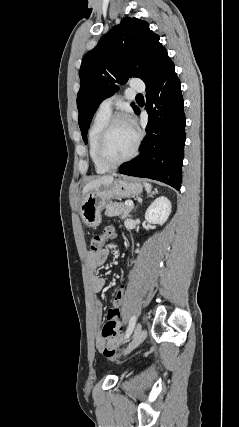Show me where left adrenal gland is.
<instances>
[{
  "label": "left adrenal gland",
  "mask_w": 239,
  "mask_h": 427,
  "mask_svg": "<svg viewBox=\"0 0 239 427\" xmlns=\"http://www.w3.org/2000/svg\"><path fill=\"white\" fill-rule=\"evenodd\" d=\"M153 194H155V192H153V193L150 195V197H151Z\"/></svg>",
  "instance_id": "a2214340"
}]
</instances>
